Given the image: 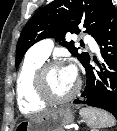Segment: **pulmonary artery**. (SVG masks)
Wrapping results in <instances>:
<instances>
[{
	"mask_svg": "<svg viewBox=\"0 0 117 131\" xmlns=\"http://www.w3.org/2000/svg\"><path fill=\"white\" fill-rule=\"evenodd\" d=\"M84 41L88 43L94 51L98 50L95 41L90 35H85ZM52 47L53 44L50 40L40 41L28 51L27 57L45 60L50 55Z\"/></svg>",
	"mask_w": 117,
	"mask_h": 131,
	"instance_id": "1",
	"label": "pulmonary artery"
}]
</instances>
